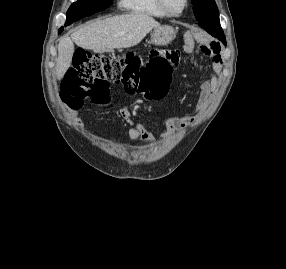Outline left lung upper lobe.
<instances>
[{
    "mask_svg": "<svg viewBox=\"0 0 286 269\" xmlns=\"http://www.w3.org/2000/svg\"><path fill=\"white\" fill-rule=\"evenodd\" d=\"M194 14L199 25L212 36L226 41L220 26L219 11L214 0H191Z\"/></svg>",
    "mask_w": 286,
    "mask_h": 269,
    "instance_id": "5c2ea615",
    "label": "left lung upper lobe"
}]
</instances>
